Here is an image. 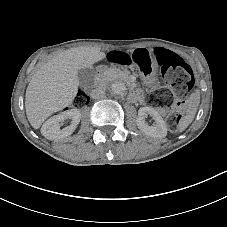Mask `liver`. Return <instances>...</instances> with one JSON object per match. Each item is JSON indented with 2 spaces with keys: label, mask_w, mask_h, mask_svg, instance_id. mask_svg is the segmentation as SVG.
<instances>
[{
  "label": "liver",
  "mask_w": 227,
  "mask_h": 227,
  "mask_svg": "<svg viewBox=\"0 0 227 227\" xmlns=\"http://www.w3.org/2000/svg\"><path fill=\"white\" fill-rule=\"evenodd\" d=\"M99 47H75L52 57L34 72L25 94L26 116L39 129L53 113L72 105L79 87L78 72L103 60Z\"/></svg>",
  "instance_id": "6515ba94"
}]
</instances>
